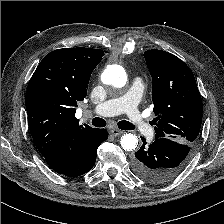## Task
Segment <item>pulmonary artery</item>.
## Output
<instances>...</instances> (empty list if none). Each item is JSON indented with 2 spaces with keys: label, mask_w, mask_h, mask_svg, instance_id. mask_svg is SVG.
I'll use <instances>...</instances> for the list:
<instances>
[{
  "label": "pulmonary artery",
  "mask_w": 224,
  "mask_h": 224,
  "mask_svg": "<svg viewBox=\"0 0 224 224\" xmlns=\"http://www.w3.org/2000/svg\"><path fill=\"white\" fill-rule=\"evenodd\" d=\"M143 91L144 82L140 77H136L124 95L109 99L97 105L93 109V112L100 116H115L125 113L135 130L142 135H148L152 132V128L138 110V103Z\"/></svg>",
  "instance_id": "obj_1"
}]
</instances>
